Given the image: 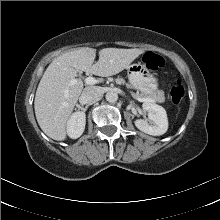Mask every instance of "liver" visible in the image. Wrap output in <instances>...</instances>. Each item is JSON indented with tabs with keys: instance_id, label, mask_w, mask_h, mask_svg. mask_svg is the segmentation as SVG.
Returning a JSON list of instances; mask_svg holds the SVG:
<instances>
[{
	"instance_id": "1",
	"label": "liver",
	"mask_w": 220,
	"mask_h": 220,
	"mask_svg": "<svg viewBox=\"0 0 220 220\" xmlns=\"http://www.w3.org/2000/svg\"><path fill=\"white\" fill-rule=\"evenodd\" d=\"M143 52L136 48H104L93 64L96 50L83 47L55 58L44 72L34 100L36 119L42 131L54 140L66 139L67 122L83 90V82L76 78L78 70L100 77L112 76L127 69Z\"/></svg>"
}]
</instances>
